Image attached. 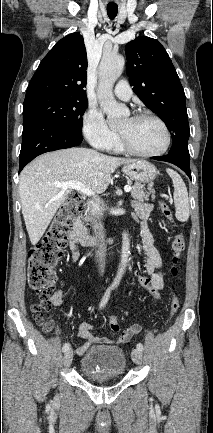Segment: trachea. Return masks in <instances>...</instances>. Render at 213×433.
<instances>
[{"label": "trachea", "mask_w": 213, "mask_h": 433, "mask_svg": "<svg viewBox=\"0 0 213 433\" xmlns=\"http://www.w3.org/2000/svg\"><path fill=\"white\" fill-rule=\"evenodd\" d=\"M117 13H118V7L117 6H112V7L107 6V14L111 20L115 19V17L117 16Z\"/></svg>", "instance_id": "1"}]
</instances>
